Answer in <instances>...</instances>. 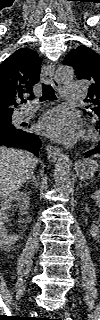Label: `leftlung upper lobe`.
Listing matches in <instances>:
<instances>
[{
  "instance_id": "left-lung-upper-lobe-1",
  "label": "left lung upper lobe",
  "mask_w": 100,
  "mask_h": 320,
  "mask_svg": "<svg viewBox=\"0 0 100 320\" xmlns=\"http://www.w3.org/2000/svg\"><path fill=\"white\" fill-rule=\"evenodd\" d=\"M63 63L74 68L79 80L91 83L89 99L85 100L90 105L83 111L100 121V56L86 46H79L68 53Z\"/></svg>"
}]
</instances>
